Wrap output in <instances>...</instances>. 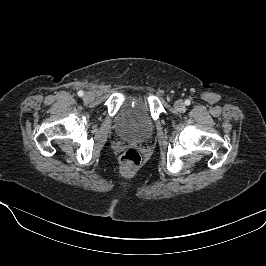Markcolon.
<instances>
[{
    "label": "colon",
    "instance_id": "colon-1",
    "mask_svg": "<svg viewBox=\"0 0 266 266\" xmlns=\"http://www.w3.org/2000/svg\"><path fill=\"white\" fill-rule=\"evenodd\" d=\"M120 162L123 166L134 168L140 165L141 156L136 149H127L121 156Z\"/></svg>",
    "mask_w": 266,
    "mask_h": 266
}]
</instances>
